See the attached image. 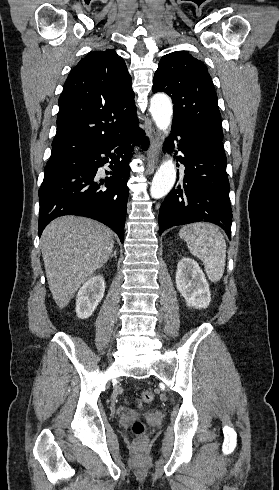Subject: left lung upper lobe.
I'll use <instances>...</instances> for the list:
<instances>
[{
    "mask_svg": "<svg viewBox=\"0 0 279 490\" xmlns=\"http://www.w3.org/2000/svg\"><path fill=\"white\" fill-rule=\"evenodd\" d=\"M152 91H164L174 105L173 123L223 139L217 95L206 65L187 52L164 55Z\"/></svg>",
    "mask_w": 279,
    "mask_h": 490,
    "instance_id": "1",
    "label": "left lung upper lobe"
}]
</instances>
